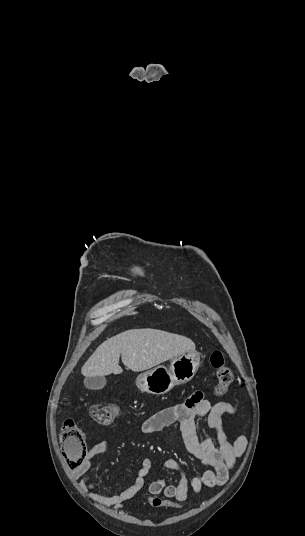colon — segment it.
Returning a JSON list of instances; mask_svg holds the SVG:
<instances>
[{
	"label": "colon",
	"mask_w": 305,
	"mask_h": 536,
	"mask_svg": "<svg viewBox=\"0 0 305 536\" xmlns=\"http://www.w3.org/2000/svg\"><path fill=\"white\" fill-rule=\"evenodd\" d=\"M210 363L215 370L216 391L218 394H224L233 381V374L228 365L225 354L214 349L210 354ZM91 418L99 423H110L116 416L117 411L114 406L107 405L103 402H95L89 408ZM61 442L64 444L63 461L65 471H80L81 462L85 460L86 441L83 438V432L73 419H65L63 421ZM148 503L152 509H162L163 507H171L178 509L181 506L180 501L174 500L168 496L163 500L162 497L152 495Z\"/></svg>",
	"instance_id": "5ec220e1"
}]
</instances>
